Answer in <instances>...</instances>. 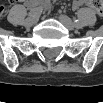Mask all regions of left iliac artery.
Returning <instances> with one entry per match:
<instances>
[{
    "label": "left iliac artery",
    "instance_id": "left-iliac-artery-1",
    "mask_svg": "<svg viewBox=\"0 0 103 103\" xmlns=\"http://www.w3.org/2000/svg\"><path fill=\"white\" fill-rule=\"evenodd\" d=\"M74 23L76 24V26H79L80 25V21L78 19H75L74 20Z\"/></svg>",
    "mask_w": 103,
    "mask_h": 103
}]
</instances>
